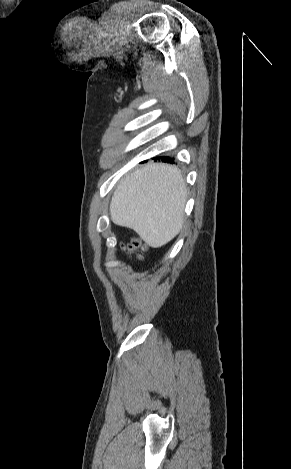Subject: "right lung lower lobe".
<instances>
[{
    "label": "right lung lower lobe",
    "mask_w": 291,
    "mask_h": 469,
    "mask_svg": "<svg viewBox=\"0 0 291 469\" xmlns=\"http://www.w3.org/2000/svg\"><path fill=\"white\" fill-rule=\"evenodd\" d=\"M162 161L173 163V160H171L169 157H162Z\"/></svg>",
    "instance_id": "1"
}]
</instances>
